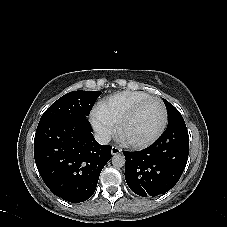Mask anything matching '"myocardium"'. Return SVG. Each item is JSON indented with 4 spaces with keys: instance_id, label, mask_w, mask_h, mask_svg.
<instances>
[{
    "instance_id": "obj_1",
    "label": "myocardium",
    "mask_w": 227,
    "mask_h": 227,
    "mask_svg": "<svg viewBox=\"0 0 227 227\" xmlns=\"http://www.w3.org/2000/svg\"><path fill=\"white\" fill-rule=\"evenodd\" d=\"M150 101H157L162 106L163 120H162L160 127L158 128V130L155 132V134L152 137H150L149 139H147L145 141L135 142V141L126 140L123 136L124 127L137 115L138 111L146 103H148ZM167 123H168V110H167L165 103L163 102V100H161L158 97L150 96V97L140 101L139 103H137L129 112H127L119 120V122L117 123V134H118L119 138L123 141V143L129 147L136 148V149L147 148V147L151 146L152 144H154L161 137V135L164 133V131L166 129Z\"/></svg>"
}]
</instances>
